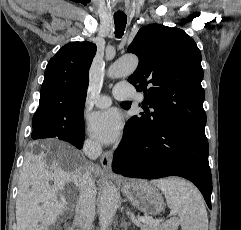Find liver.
Masks as SVG:
<instances>
[{
  "label": "liver",
  "mask_w": 241,
  "mask_h": 230,
  "mask_svg": "<svg viewBox=\"0 0 241 230\" xmlns=\"http://www.w3.org/2000/svg\"><path fill=\"white\" fill-rule=\"evenodd\" d=\"M41 148L38 155L26 154L20 173L16 200L17 230H42L53 224L66 209L67 202L57 198L66 183L72 182L76 186L75 198L79 192L80 178L85 170L79 152L59 141L41 145ZM91 169L98 173L97 169Z\"/></svg>",
  "instance_id": "obj_1"
}]
</instances>
